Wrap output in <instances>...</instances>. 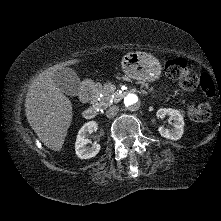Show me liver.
I'll use <instances>...</instances> for the list:
<instances>
[{"instance_id": "6515ba94", "label": "liver", "mask_w": 221, "mask_h": 221, "mask_svg": "<svg viewBox=\"0 0 221 221\" xmlns=\"http://www.w3.org/2000/svg\"><path fill=\"white\" fill-rule=\"evenodd\" d=\"M79 61L73 59L46 69L35 78L26 95L28 123L39 140L54 151L62 149L73 112L71 101L57 88L53 75L58 69L75 65Z\"/></svg>"}]
</instances>
